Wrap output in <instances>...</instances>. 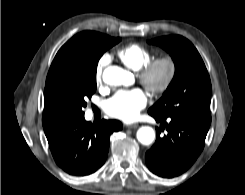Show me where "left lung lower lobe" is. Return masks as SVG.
I'll return each instance as SVG.
<instances>
[{
  "label": "left lung lower lobe",
  "mask_w": 245,
  "mask_h": 195,
  "mask_svg": "<svg viewBox=\"0 0 245 195\" xmlns=\"http://www.w3.org/2000/svg\"><path fill=\"white\" fill-rule=\"evenodd\" d=\"M148 113L157 122L161 121L160 129L166 126L168 132L160 137V130L156 128V142L145 155L148 168L165 178L182 174L192 166L203 150L211 119L180 115L161 117Z\"/></svg>",
  "instance_id": "obj_1"
}]
</instances>
